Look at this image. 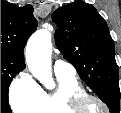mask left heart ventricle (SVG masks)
<instances>
[{"label": "left heart ventricle", "mask_w": 121, "mask_h": 113, "mask_svg": "<svg viewBox=\"0 0 121 113\" xmlns=\"http://www.w3.org/2000/svg\"><path fill=\"white\" fill-rule=\"evenodd\" d=\"M87 110L90 113H103V108L96 102H89L87 104Z\"/></svg>", "instance_id": "left-heart-ventricle-1"}]
</instances>
